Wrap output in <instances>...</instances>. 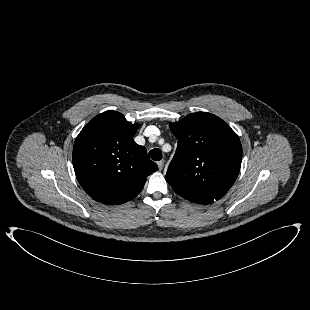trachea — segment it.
I'll list each match as a JSON object with an SVG mask.
<instances>
[{
	"mask_svg": "<svg viewBox=\"0 0 310 310\" xmlns=\"http://www.w3.org/2000/svg\"><path fill=\"white\" fill-rule=\"evenodd\" d=\"M149 157L154 161H159L162 159V152L160 149H152L149 152Z\"/></svg>",
	"mask_w": 310,
	"mask_h": 310,
	"instance_id": "3493384b",
	"label": "trachea"
}]
</instances>
